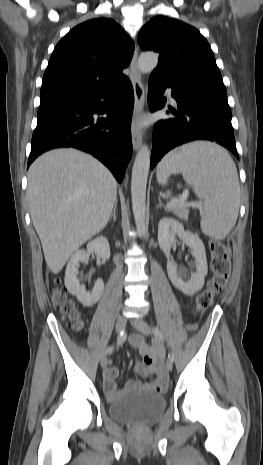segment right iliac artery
Here are the masks:
<instances>
[{
  "mask_svg": "<svg viewBox=\"0 0 263 465\" xmlns=\"http://www.w3.org/2000/svg\"><path fill=\"white\" fill-rule=\"evenodd\" d=\"M127 334L125 331H121L120 335L117 338V345H122L126 340ZM114 350L113 346L108 347L105 350V354L111 353Z\"/></svg>",
  "mask_w": 263,
  "mask_h": 465,
  "instance_id": "obj_1",
  "label": "right iliac artery"
}]
</instances>
